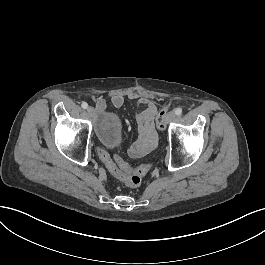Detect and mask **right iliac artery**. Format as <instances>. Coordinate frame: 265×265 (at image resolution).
I'll list each match as a JSON object with an SVG mask.
<instances>
[{
  "instance_id": "82829eb1",
  "label": "right iliac artery",
  "mask_w": 265,
  "mask_h": 265,
  "mask_svg": "<svg viewBox=\"0 0 265 265\" xmlns=\"http://www.w3.org/2000/svg\"><path fill=\"white\" fill-rule=\"evenodd\" d=\"M81 106L82 108L86 109L88 107V104L86 102H82Z\"/></svg>"
}]
</instances>
